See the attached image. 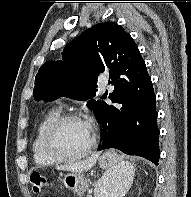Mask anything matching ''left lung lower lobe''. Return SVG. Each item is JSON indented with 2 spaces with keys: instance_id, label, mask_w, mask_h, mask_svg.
<instances>
[{
  "instance_id": "left-lung-lower-lobe-1",
  "label": "left lung lower lobe",
  "mask_w": 191,
  "mask_h": 197,
  "mask_svg": "<svg viewBox=\"0 0 191 197\" xmlns=\"http://www.w3.org/2000/svg\"><path fill=\"white\" fill-rule=\"evenodd\" d=\"M111 83L114 90L109 98L120 107L104 104L97 115V121L103 126L99 150L119 149L158 165L156 96L146 66L135 72L114 74L110 77Z\"/></svg>"
}]
</instances>
